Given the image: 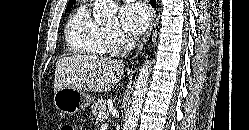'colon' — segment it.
<instances>
[{
    "instance_id": "5ec220e1",
    "label": "colon",
    "mask_w": 249,
    "mask_h": 130,
    "mask_svg": "<svg viewBox=\"0 0 249 130\" xmlns=\"http://www.w3.org/2000/svg\"><path fill=\"white\" fill-rule=\"evenodd\" d=\"M60 130H75V127L70 123H65Z\"/></svg>"
}]
</instances>
